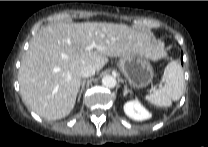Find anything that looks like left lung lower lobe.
Returning a JSON list of instances; mask_svg holds the SVG:
<instances>
[{"mask_svg": "<svg viewBox=\"0 0 208 147\" xmlns=\"http://www.w3.org/2000/svg\"><path fill=\"white\" fill-rule=\"evenodd\" d=\"M181 61H182V63H183V55H182V57H181Z\"/></svg>", "mask_w": 208, "mask_h": 147, "instance_id": "0a47b994", "label": "left lung lower lobe"}]
</instances>
